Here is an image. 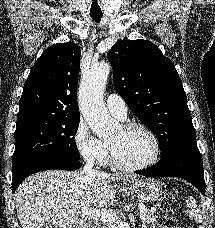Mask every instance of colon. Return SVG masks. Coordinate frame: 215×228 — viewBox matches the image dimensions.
<instances>
[{"label": "colon", "instance_id": "obj_1", "mask_svg": "<svg viewBox=\"0 0 215 228\" xmlns=\"http://www.w3.org/2000/svg\"><path fill=\"white\" fill-rule=\"evenodd\" d=\"M177 208V202L172 194H165L158 203L159 218L157 228H175L174 220L164 216L165 212L174 211Z\"/></svg>", "mask_w": 215, "mask_h": 228}]
</instances>
